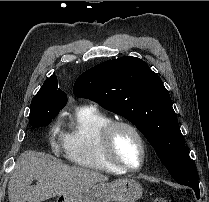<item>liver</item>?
<instances>
[{
    "mask_svg": "<svg viewBox=\"0 0 209 202\" xmlns=\"http://www.w3.org/2000/svg\"><path fill=\"white\" fill-rule=\"evenodd\" d=\"M33 180H37L34 186ZM107 180L97 171L70 167L44 153L25 151L9 180L8 198L10 202H42Z\"/></svg>",
    "mask_w": 209,
    "mask_h": 202,
    "instance_id": "6515ba94",
    "label": "liver"
}]
</instances>
